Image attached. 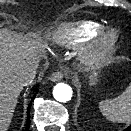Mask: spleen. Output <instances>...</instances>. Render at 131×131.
<instances>
[{"label": "spleen", "mask_w": 131, "mask_h": 131, "mask_svg": "<svg viewBox=\"0 0 131 131\" xmlns=\"http://www.w3.org/2000/svg\"><path fill=\"white\" fill-rule=\"evenodd\" d=\"M101 113L112 122L131 120V83L116 98L99 102Z\"/></svg>", "instance_id": "3e777b00"}]
</instances>
